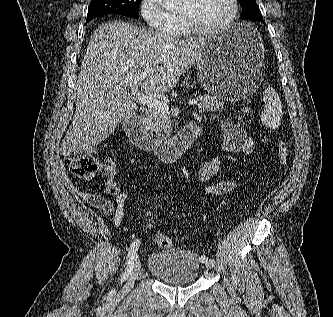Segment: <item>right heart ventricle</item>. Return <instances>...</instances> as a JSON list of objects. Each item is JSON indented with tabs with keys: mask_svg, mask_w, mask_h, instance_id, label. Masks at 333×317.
<instances>
[{
	"mask_svg": "<svg viewBox=\"0 0 333 317\" xmlns=\"http://www.w3.org/2000/svg\"><path fill=\"white\" fill-rule=\"evenodd\" d=\"M176 20H177V27H176V30L174 32V35L176 37H188V36H190L191 32L186 28V26L184 25L181 18L176 16Z\"/></svg>",
	"mask_w": 333,
	"mask_h": 317,
	"instance_id": "right-heart-ventricle-1",
	"label": "right heart ventricle"
}]
</instances>
